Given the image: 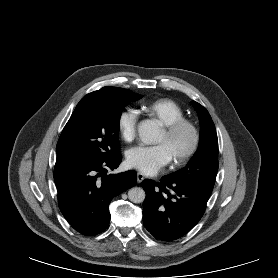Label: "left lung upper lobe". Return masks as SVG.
<instances>
[{
    "instance_id": "5c2ea615",
    "label": "left lung upper lobe",
    "mask_w": 278,
    "mask_h": 278,
    "mask_svg": "<svg viewBox=\"0 0 278 278\" xmlns=\"http://www.w3.org/2000/svg\"><path fill=\"white\" fill-rule=\"evenodd\" d=\"M192 104L198 113L201 126L199 147L183 169L169 174L168 177L213 188L218 171V139L215 125L202 105L195 101Z\"/></svg>"
}]
</instances>
